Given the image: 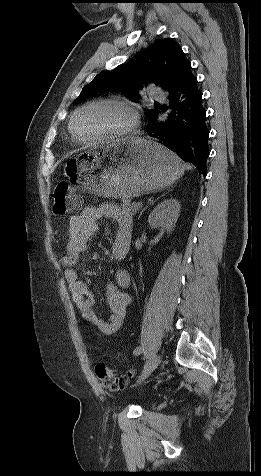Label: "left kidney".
<instances>
[{
    "label": "left kidney",
    "instance_id": "5707ae66",
    "mask_svg": "<svg viewBox=\"0 0 261 476\" xmlns=\"http://www.w3.org/2000/svg\"><path fill=\"white\" fill-rule=\"evenodd\" d=\"M180 203L174 198L159 203L150 213L148 223L153 228H161L171 233L180 213Z\"/></svg>",
    "mask_w": 261,
    "mask_h": 476
}]
</instances>
